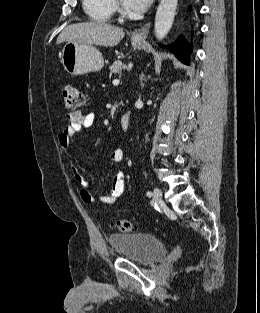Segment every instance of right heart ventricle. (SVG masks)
<instances>
[{"mask_svg":"<svg viewBox=\"0 0 260 313\" xmlns=\"http://www.w3.org/2000/svg\"><path fill=\"white\" fill-rule=\"evenodd\" d=\"M83 7L87 15L97 22L110 21L114 10V0H83Z\"/></svg>","mask_w":260,"mask_h":313,"instance_id":"1","label":"right heart ventricle"}]
</instances>
